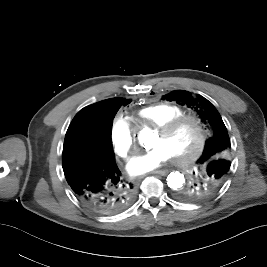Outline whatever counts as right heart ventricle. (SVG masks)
<instances>
[{
	"instance_id": "right-heart-ventricle-1",
	"label": "right heart ventricle",
	"mask_w": 267,
	"mask_h": 267,
	"mask_svg": "<svg viewBox=\"0 0 267 267\" xmlns=\"http://www.w3.org/2000/svg\"><path fill=\"white\" fill-rule=\"evenodd\" d=\"M183 114L185 110L178 105L158 103L138 110L134 119L141 124L159 127L168 120Z\"/></svg>"
}]
</instances>
